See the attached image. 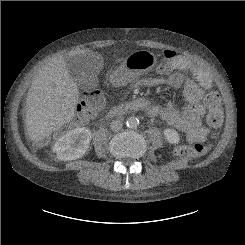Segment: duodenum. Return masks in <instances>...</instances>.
Instances as JSON below:
<instances>
[{
	"label": "duodenum",
	"mask_w": 245,
	"mask_h": 245,
	"mask_svg": "<svg viewBox=\"0 0 245 245\" xmlns=\"http://www.w3.org/2000/svg\"><path fill=\"white\" fill-rule=\"evenodd\" d=\"M154 105L148 100L137 99L133 102L124 104L118 108L111 109L107 115L109 119H119L122 116L132 114L139 111H146L153 108Z\"/></svg>",
	"instance_id": "410a0bca"
}]
</instances>
